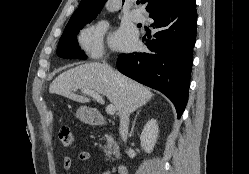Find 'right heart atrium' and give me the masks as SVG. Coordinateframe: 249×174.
I'll return each instance as SVG.
<instances>
[{"mask_svg":"<svg viewBox=\"0 0 249 174\" xmlns=\"http://www.w3.org/2000/svg\"><path fill=\"white\" fill-rule=\"evenodd\" d=\"M106 31V24L98 22L84 28L78 36V43L81 49L91 57L98 58L104 52L103 39Z\"/></svg>","mask_w":249,"mask_h":174,"instance_id":"d8ad5b80","label":"right heart atrium"}]
</instances>
